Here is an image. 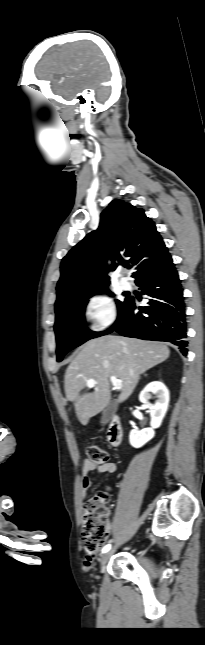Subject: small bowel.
<instances>
[{"label":"small bowel","mask_w":205,"mask_h":645,"mask_svg":"<svg viewBox=\"0 0 205 645\" xmlns=\"http://www.w3.org/2000/svg\"><path fill=\"white\" fill-rule=\"evenodd\" d=\"M116 468H117L116 464L112 462H107L103 465L96 466V465H93L88 460L84 461L82 466V477H81V487L84 494L92 485V481L89 476L90 473L98 472V473H104V474H112L116 471ZM95 557H96L95 553H89L85 559V564L90 565L95 559Z\"/></svg>","instance_id":"small-bowel-1"}]
</instances>
